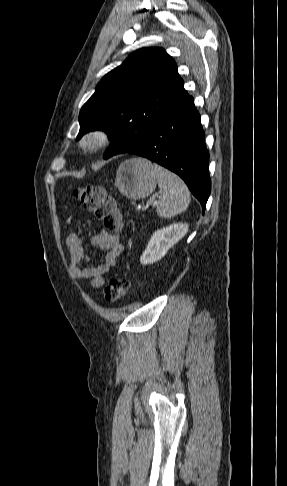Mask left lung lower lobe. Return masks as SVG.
I'll return each mask as SVG.
<instances>
[{
	"mask_svg": "<svg viewBox=\"0 0 287 486\" xmlns=\"http://www.w3.org/2000/svg\"><path fill=\"white\" fill-rule=\"evenodd\" d=\"M128 152L178 174L205 209L211 190L209 153L200 115L193 97L187 92L149 131L144 141Z\"/></svg>",
	"mask_w": 287,
	"mask_h": 486,
	"instance_id": "left-lung-lower-lobe-1",
	"label": "left lung lower lobe"
}]
</instances>
